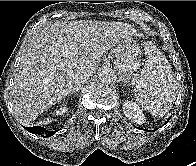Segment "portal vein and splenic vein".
<instances>
[{"label": "portal vein and splenic vein", "instance_id": "obj_1", "mask_svg": "<svg viewBox=\"0 0 196 166\" xmlns=\"http://www.w3.org/2000/svg\"><path fill=\"white\" fill-rule=\"evenodd\" d=\"M125 71H128L131 69V66L130 65H122L121 66Z\"/></svg>", "mask_w": 196, "mask_h": 166}]
</instances>
